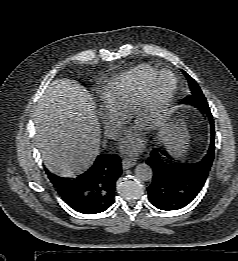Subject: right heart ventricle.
<instances>
[{
	"label": "right heart ventricle",
	"mask_w": 238,
	"mask_h": 261,
	"mask_svg": "<svg viewBox=\"0 0 238 261\" xmlns=\"http://www.w3.org/2000/svg\"><path fill=\"white\" fill-rule=\"evenodd\" d=\"M155 69L147 64L137 65L122 73L99 92L103 108L128 116L135 104L143 82Z\"/></svg>",
	"instance_id": "obj_1"
}]
</instances>
